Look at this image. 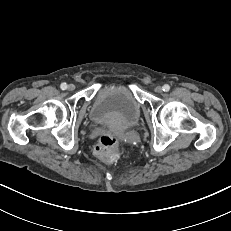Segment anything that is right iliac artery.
<instances>
[{
	"label": "right iliac artery",
	"mask_w": 231,
	"mask_h": 231,
	"mask_svg": "<svg viewBox=\"0 0 231 231\" xmlns=\"http://www.w3.org/2000/svg\"><path fill=\"white\" fill-rule=\"evenodd\" d=\"M60 88H61L62 90H66V89H67V84H66L65 82L62 83L61 86H60Z\"/></svg>",
	"instance_id": "1"
}]
</instances>
